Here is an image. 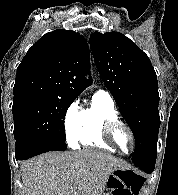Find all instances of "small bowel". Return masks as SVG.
I'll return each mask as SVG.
<instances>
[{"label": "small bowel", "mask_w": 178, "mask_h": 195, "mask_svg": "<svg viewBox=\"0 0 178 195\" xmlns=\"http://www.w3.org/2000/svg\"><path fill=\"white\" fill-rule=\"evenodd\" d=\"M121 195H131V194H125V193H124V194H121Z\"/></svg>", "instance_id": "small-bowel-1"}]
</instances>
